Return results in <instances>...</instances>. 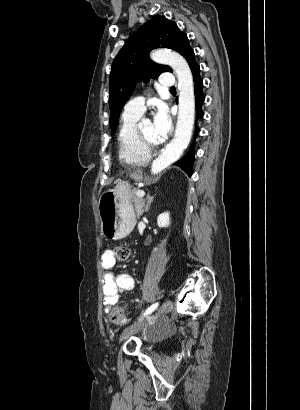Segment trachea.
I'll return each mask as SVG.
<instances>
[{
    "instance_id": "trachea-1",
    "label": "trachea",
    "mask_w": 300,
    "mask_h": 410,
    "mask_svg": "<svg viewBox=\"0 0 300 410\" xmlns=\"http://www.w3.org/2000/svg\"><path fill=\"white\" fill-rule=\"evenodd\" d=\"M175 90H176L175 87L170 88V91H175Z\"/></svg>"
}]
</instances>
